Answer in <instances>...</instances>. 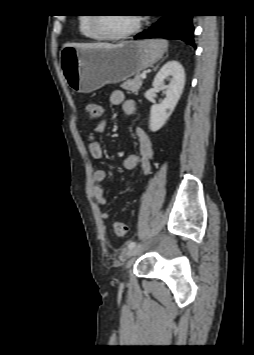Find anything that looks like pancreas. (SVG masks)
Segmentation results:
<instances>
[{
    "instance_id": "cf45deb5",
    "label": "pancreas",
    "mask_w": 254,
    "mask_h": 355,
    "mask_svg": "<svg viewBox=\"0 0 254 355\" xmlns=\"http://www.w3.org/2000/svg\"><path fill=\"white\" fill-rule=\"evenodd\" d=\"M142 86V79L140 75H136L132 80H127L121 84V88L127 90L129 93L138 94Z\"/></svg>"
}]
</instances>
